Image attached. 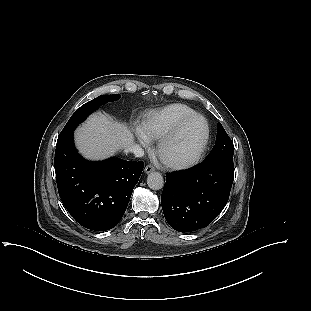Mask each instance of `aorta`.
I'll list each match as a JSON object with an SVG mask.
<instances>
[{
	"mask_svg": "<svg viewBox=\"0 0 311 311\" xmlns=\"http://www.w3.org/2000/svg\"><path fill=\"white\" fill-rule=\"evenodd\" d=\"M147 185L152 190H160L164 186L163 176L159 172H151L147 177Z\"/></svg>",
	"mask_w": 311,
	"mask_h": 311,
	"instance_id": "1",
	"label": "aorta"
}]
</instances>
